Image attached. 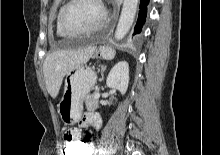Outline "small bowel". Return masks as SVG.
<instances>
[{
  "label": "small bowel",
  "instance_id": "small-bowel-1",
  "mask_svg": "<svg viewBox=\"0 0 220 155\" xmlns=\"http://www.w3.org/2000/svg\"><path fill=\"white\" fill-rule=\"evenodd\" d=\"M101 126L100 117L95 113H87L83 116L78 126H64L62 135H64V141H74L75 139H81V128L92 127L95 131H98ZM95 151L94 146L90 145L86 155H93Z\"/></svg>",
  "mask_w": 220,
  "mask_h": 155
}]
</instances>
